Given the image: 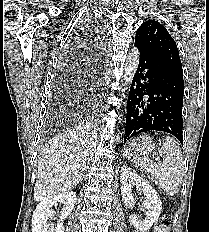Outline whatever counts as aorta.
I'll list each match as a JSON object with an SVG mask.
<instances>
[{
  "mask_svg": "<svg viewBox=\"0 0 209 232\" xmlns=\"http://www.w3.org/2000/svg\"><path fill=\"white\" fill-rule=\"evenodd\" d=\"M139 58V50L137 48H133L128 54L127 61L124 65L123 80L125 84H129L132 81L138 68ZM117 139L119 140V137H117Z\"/></svg>",
  "mask_w": 209,
  "mask_h": 232,
  "instance_id": "obj_1",
  "label": "aorta"
}]
</instances>
